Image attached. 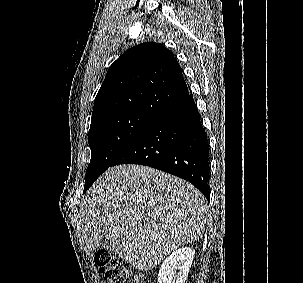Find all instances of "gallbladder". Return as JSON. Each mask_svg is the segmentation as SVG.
Wrapping results in <instances>:
<instances>
[{
  "mask_svg": "<svg viewBox=\"0 0 303 283\" xmlns=\"http://www.w3.org/2000/svg\"><path fill=\"white\" fill-rule=\"evenodd\" d=\"M96 249L111 250V240L107 238H102L101 240H99Z\"/></svg>",
  "mask_w": 303,
  "mask_h": 283,
  "instance_id": "1",
  "label": "gallbladder"
}]
</instances>
